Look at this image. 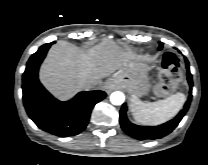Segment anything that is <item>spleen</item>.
I'll list each match as a JSON object with an SVG mask.
<instances>
[{"instance_id": "1", "label": "spleen", "mask_w": 208, "mask_h": 165, "mask_svg": "<svg viewBox=\"0 0 208 165\" xmlns=\"http://www.w3.org/2000/svg\"><path fill=\"white\" fill-rule=\"evenodd\" d=\"M185 100L183 93H176L163 100L144 103L133 95L130 109L136 122L158 125L172 119L181 110Z\"/></svg>"}]
</instances>
